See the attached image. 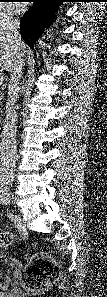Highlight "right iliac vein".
Listing matches in <instances>:
<instances>
[{
	"label": "right iliac vein",
	"mask_w": 107,
	"mask_h": 297,
	"mask_svg": "<svg viewBox=\"0 0 107 297\" xmlns=\"http://www.w3.org/2000/svg\"><path fill=\"white\" fill-rule=\"evenodd\" d=\"M6 200H7L9 203H14V197H13L10 193L7 194Z\"/></svg>",
	"instance_id": "obj_1"
}]
</instances>
